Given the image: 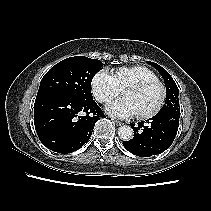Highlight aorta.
<instances>
[{
	"mask_svg": "<svg viewBox=\"0 0 211 211\" xmlns=\"http://www.w3.org/2000/svg\"><path fill=\"white\" fill-rule=\"evenodd\" d=\"M118 136L123 141H129L133 137V129L128 125L121 126L118 129Z\"/></svg>",
	"mask_w": 211,
	"mask_h": 211,
	"instance_id": "obj_1",
	"label": "aorta"
}]
</instances>
